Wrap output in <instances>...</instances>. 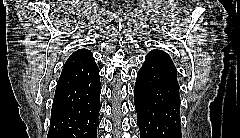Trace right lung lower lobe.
<instances>
[{
	"label": "right lung lower lobe",
	"mask_w": 240,
	"mask_h": 138,
	"mask_svg": "<svg viewBox=\"0 0 240 138\" xmlns=\"http://www.w3.org/2000/svg\"><path fill=\"white\" fill-rule=\"evenodd\" d=\"M99 73L80 84L57 89L47 138H97Z\"/></svg>",
	"instance_id": "obj_1"
}]
</instances>
